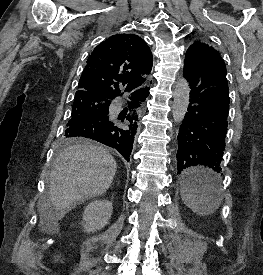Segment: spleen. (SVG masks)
<instances>
[{
  "mask_svg": "<svg viewBox=\"0 0 263 275\" xmlns=\"http://www.w3.org/2000/svg\"><path fill=\"white\" fill-rule=\"evenodd\" d=\"M221 189L220 176L216 175L213 185L209 189H204L192 184H186L182 188L183 202L195 213L205 215L208 211L210 201L218 203ZM210 195L209 197L205 195Z\"/></svg>",
  "mask_w": 263,
  "mask_h": 275,
  "instance_id": "spleen-1",
  "label": "spleen"
}]
</instances>
